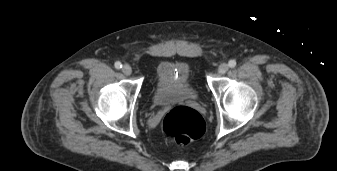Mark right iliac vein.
Masks as SVG:
<instances>
[{
	"label": "right iliac vein",
	"instance_id": "1",
	"mask_svg": "<svg viewBox=\"0 0 337 171\" xmlns=\"http://www.w3.org/2000/svg\"><path fill=\"white\" fill-rule=\"evenodd\" d=\"M122 72L125 74V75H131V73H132V68H131V66L130 65H128V64H125L124 66H123V68H122Z\"/></svg>",
	"mask_w": 337,
	"mask_h": 171
}]
</instances>
